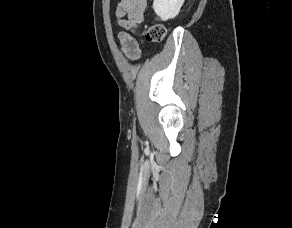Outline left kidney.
I'll use <instances>...</instances> for the list:
<instances>
[{"mask_svg": "<svg viewBox=\"0 0 292 228\" xmlns=\"http://www.w3.org/2000/svg\"><path fill=\"white\" fill-rule=\"evenodd\" d=\"M184 1L185 0H154L153 9L163 21H166L178 15Z\"/></svg>", "mask_w": 292, "mask_h": 228, "instance_id": "obj_1", "label": "left kidney"}]
</instances>
